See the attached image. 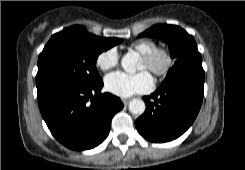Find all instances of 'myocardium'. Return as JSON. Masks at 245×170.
<instances>
[{
	"instance_id": "f54148a6",
	"label": "myocardium",
	"mask_w": 245,
	"mask_h": 170,
	"mask_svg": "<svg viewBox=\"0 0 245 170\" xmlns=\"http://www.w3.org/2000/svg\"><path fill=\"white\" fill-rule=\"evenodd\" d=\"M142 59L147 63V68L156 76H166L174 65V57L172 53L163 47H157L149 53L143 54ZM162 60V65L156 67L158 60Z\"/></svg>"
}]
</instances>
